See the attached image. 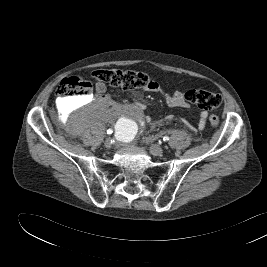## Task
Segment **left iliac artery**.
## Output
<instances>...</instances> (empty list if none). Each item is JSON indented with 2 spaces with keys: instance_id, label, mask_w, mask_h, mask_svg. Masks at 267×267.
Returning <instances> with one entry per match:
<instances>
[{
  "instance_id": "left-iliac-artery-1",
  "label": "left iliac artery",
  "mask_w": 267,
  "mask_h": 267,
  "mask_svg": "<svg viewBox=\"0 0 267 267\" xmlns=\"http://www.w3.org/2000/svg\"><path fill=\"white\" fill-rule=\"evenodd\" d=\"M168 140H169V136H164V137H163V141L166 142V141H168Z\"/></svg>"
}]
</instances>
